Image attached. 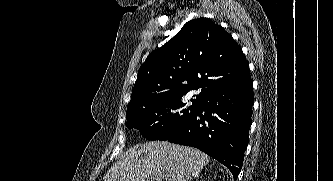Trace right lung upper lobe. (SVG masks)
<instances>
[{
    "label": "right lung upper lobe",
    "instance_id": "1",
    "mask_svg": "<svg viewBox=\"0 0 333 181\" xmlns=\"http://www.w3.org/2000/svg\"><path fill=\"white\" fill-rule=\"evenodd\" d=\"M250 78L240 46L208 18L187 22L141 65L127 111L149 102L182 98L200 89L196 100Z\"/></svg>",
    "mask_w": 333,
    "mask_h": 181
}]
</instances>
